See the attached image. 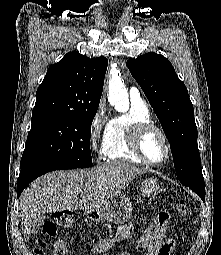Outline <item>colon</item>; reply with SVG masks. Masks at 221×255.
I'll return each instance as SVG.
<instances>
[{
  "instance_id": "1",
  "label": "colon",
  "mask_w": 221,
  "mask_h": 255,
  "mask_svg": "<svg viewBox=\"0 0 221 255\" xmlns=\"http://www.w3.org/2000/svg\"><path fill=\"white\" fill-rule=\"evenodd\" d=\"M177 211L182 216H188L191 213L190 204L186 199H181L177 204ZM170 219V214L166 211H162L158 214L155 222L148 227L147 232L149 234H155L162 232L167 228ZM58 226L63 228H71L73 226V218L67 212H57L54 213L49 220H47L43 225V235L46 237L54 236L57 232ZM45 242L43 238L37 240V246L35 248V253L37 255L43 254V246ZM141 250V249H139ZM53 255H68L66 244L63 240H58L54 244Z\"/></svg>"
}]
</instances>
